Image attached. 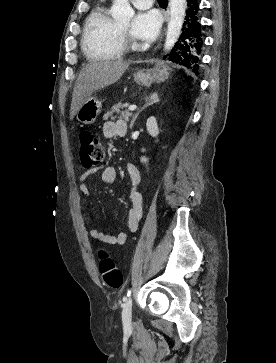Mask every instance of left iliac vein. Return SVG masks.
Here are the masks:
<instances>
[{
    "instance_id": "obj_1",
    "label": "left iliac vein",
    "mask_w": 276,
    "mask_h": 363,
    "mask_svg": "<svg viewBox=\"0 0 276 363\" xmlns=\"http://www.w3.org/2000/svg\"><path fill=\"white\" fill-rule=\"evenodd\" d=\"M131 311H132V299L128 298L124 303L122 311V319L124 322H129L131 320Z\"/></svg>"
}]
</instances>
